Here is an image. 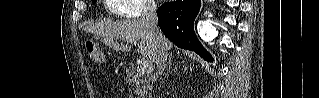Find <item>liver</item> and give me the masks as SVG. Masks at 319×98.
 I'll return each mask as SVG.
<instances>
[{
	"label": "liver",
	"mask_w": 319,
	"mask_h": 98,
	"mask_svg": "<svg viewBox=\"0 0 319 98\" xmlns=\"http://www.w3.org/2000/svg\"><path fill=\"white\" fill-rule=\"evenodd\" d=\"M90 33H93L101 38L104 44L109 45L117 51L127 52L130 47L125 44H118L114 39H122L126 41L127 38L132 40H140L138 45V52L145 57H148L152 62H156L158 41L152 35L141 19L139 20H123V21H103L86 28ZM163 36V35H162ZM163 42L167 50L173 48L165 36Z\"/></svg>",
	"instance_id": "obj_1"
}]
</instances>
